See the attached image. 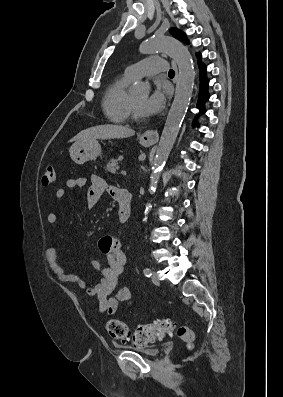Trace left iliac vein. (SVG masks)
Returning a JSON list of instances; mask_svg holds the SVG:
<instances>
[{
    "instance_id": "obj_1",
    "label": "left iliac vein",
    "mask_w": 283,
    "mask_h": 397,
    "mask_svg": "<svg viewBox=\"0 0 283 397\" xmlns=\"http://www.w3.org/2000/svg\"><path fill=\"white\" fill-rule=\"evenodd\" d=\"M151 280L155 285H159L160 281L156 272H153L151 275Z\"/></svg>"
}]
</instances>
